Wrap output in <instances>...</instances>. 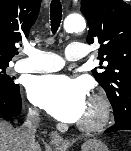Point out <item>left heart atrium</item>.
<instances>
[{"label": "left heart atrium", "instance_id": "obj_1", "mask_svg": "<svg viewBox=\"0 0 131 151\" xmlns=\"http://www.w3.org/2000/svg\"><path fill=\"white\" fill-rule=\"evenodd\" d=\"M30 101L64 122L79 121L86 109V87L65 75L33 77L27 85Z\"/></svg>", "mask_w": 131, "mask_h": 151}]
</instances>
